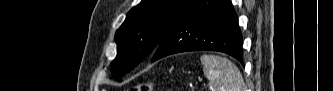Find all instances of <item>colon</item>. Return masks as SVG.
<instances>
[{"label": "colon", "mask_w": 333, "mask_h": 91, "mask_svg": "<svg viewBox=\"0 0 333 91\" xmlns=\"http://www.w3.org/2000/svg\"><path fill=\"white\" fill-rule=\"evenodd\" d=\"M151 90H152V84L149 82L139 83L131 88V91H151Z\"/></svg>", "instance_id": "colon-1"}]
</instances>
